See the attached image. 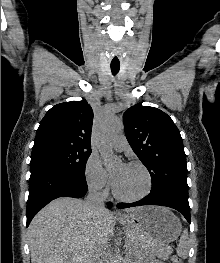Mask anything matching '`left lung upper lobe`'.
I'll return each instance as SVG.
<instances>
[{"label": "left lung upper lobe", "instance_id": "left-lung-upper-lobe-1", "mask_svg": "<svg viewBox=\"0 0 220 263\" xmlns=\"http://www.w3.org/2000/svg\"><path fill=\"white\" fill-rule=\"evenodd\" d=\"M126 138L148 169L151 192L188 195L186 155L180 132L163 111L136 104L123 114Z\"/></svg>", "mask_w": 220, "mask_h": 263}]
</instances>
